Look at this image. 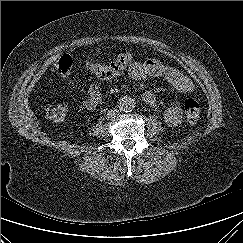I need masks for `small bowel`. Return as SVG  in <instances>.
Wrapping results in <instances>:
<instances>
[{
  "label": "small bowel",
  "mask_w": 243,
  "mask_h": 243,
  "mask_svg": "<svg viewBox=\"0 0 243 243\" xmlns=\"http://www.w3.org/2000/svg\"><path fill=\"white\" fill-rule=\"evenodd\" d=\"M129 76L134 80H142L147 77L164 78L177 92L189 93L194 90L193 81L169 64L162 63L158 59H149L143 62H135L128 70ZM144 102L160 111L157 95L151 90L143 93ZM101 101V92L97 83L89 85L85 92L82 104L86 109L95 108ZM163 118L169 127H176L181 123L182 110L179 101L163 111Z\"/></svg>",
  "instance_id": "1"
}]
</instances>
